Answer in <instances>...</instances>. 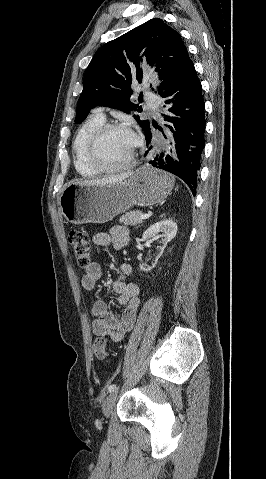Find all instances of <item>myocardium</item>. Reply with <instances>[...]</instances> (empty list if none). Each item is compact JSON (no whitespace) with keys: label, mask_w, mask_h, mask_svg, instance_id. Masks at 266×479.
I'll return each instance as SVG.
<instances>
[{"label":"myocardium","mask_w":266,"mask_h":479,"mask_svg":"<svg viewBox=\"0 0 266 479\" xmlns=\"http://www.w3.org/2000/svg\"><path fill=\"white\" fill-rule=\"evenodd\" d=\"M113 130H123L129 132L134 137V145L133 148L128 156V158L121 164L116 166H105L99 162L97 159V147L101 140V138L108 133L109 131ZM141 140L137 136V134L130 129L128 126L121 124V123H104L100 127H98L90 136L87 146H86V160L90 167L97 171L98 173H113L118 172L121 170L128 169L131 167L138 148L140 147Z\"/></svg>","instance_id":"obj_1"}]
</instances>
